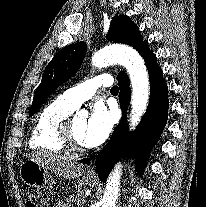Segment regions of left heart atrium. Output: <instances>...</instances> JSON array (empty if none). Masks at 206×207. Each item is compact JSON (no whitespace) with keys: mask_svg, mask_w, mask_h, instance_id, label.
<instances>
[{"mask_svg":"<svg viewBox=\"0 0 206 207\" xmlns=\"http://www.w3.org/2000/svg\"><path fill=\"white\" fill-rule=\"evenodd\" d=\"M115 120L114 110L107 109L102 103L95 104L84 131L85 145L95 147L103 143L112 132Z\"/></svg>","mask_w":206,"mask_h":207,"instance_id":"1","label":"left heart atrium"}]
</instances>
